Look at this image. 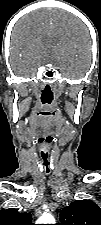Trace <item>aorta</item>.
<instances>
[{
    "label": "aorta",
    "instance_id": "1",
    "mask_svg": "<svg viewBox=\"0 0 101 225\" xmlns=\"http://www.w3.org/2000/svg\"><path fill=\"white\" fill-rule=\"evenodd\" d=\"M38 224H54V217L50 213H44L37 221Z\"/></svg>",
    "mask_w": 101,
    "mask_h": 225
}]
</instances>
